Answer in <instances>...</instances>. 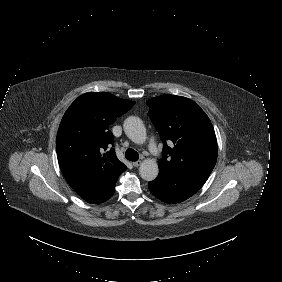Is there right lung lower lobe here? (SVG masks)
<instances>
[{
	"instance_id": "obj_1",
	"label": "right lung lower lobe",
	"mask_w": 282,
	"mask_h": 282,
	"mask_svg": "<svg viewBox=\"0 0 282 282\" xmlns=\"http://www.w3.org/2000/svg\"><path fill=\"white\" fill-rule=\"evenodd\" d=\"M117 178H114L109 185H103L98 192L92 195L90 198L86 199L88 203L99 204L108 200L115 192V185Z\"/></svg>"
}]
</instances>
